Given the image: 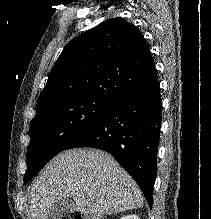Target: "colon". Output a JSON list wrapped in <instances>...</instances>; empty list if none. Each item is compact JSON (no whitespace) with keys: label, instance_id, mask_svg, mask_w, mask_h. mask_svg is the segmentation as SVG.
<instances>
[{"label":"colon","instance_id":"5ec220e1","mask_svg":"<svg viewBox=\"0 0 211 219\" xmlns=\"http://www.w3.org/2000/svg\"><path fill=\"white\" fill-rule=\"evenodd\" d=\"M61 219H105L104 217H100V216H88V215H78L76 217H70V216H64Z\"/></svg>","mask_w":211,"mask_h":219}]
</instances>
